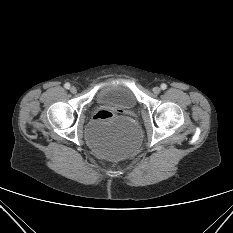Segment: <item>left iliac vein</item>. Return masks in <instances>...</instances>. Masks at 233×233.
Instances as JSON below:
<instances>
[{
  "instance_id": "obj_1",
  "label": "left iliac vein",
  "mask_w": 233,
  "mask_h": 233,
  "mask_svg": "<svg viewBox=\"0 0 233 233\" xmlns=\"http://www.w3.org/2000/svg\"><path fill=\"white\" fill-rule=\"evenodd\" d=\"M152 91H153L154 94H159L160 91H161V89H160L159 87H154V88L152 89Z\"/></svg>"
}]
</instances>
